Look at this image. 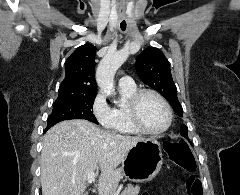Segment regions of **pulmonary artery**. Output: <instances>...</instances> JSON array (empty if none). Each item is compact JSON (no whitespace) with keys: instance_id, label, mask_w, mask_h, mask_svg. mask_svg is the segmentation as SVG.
<instances>
[{"instance_id":"1","label":"pulmonary artery","mask_w":240,"mask_h":195,"mask_svg":"<svg viewBox=\"0 0 240 195\" xmlns=\"http://www.w3.org/2000/svg\"><path fill=\"white\" fill-rule=\"evenodd\" d=\"M120 84L133 85V81L129 75H124L123 78L120 79Z\"/></svg>"}]
</instances>
